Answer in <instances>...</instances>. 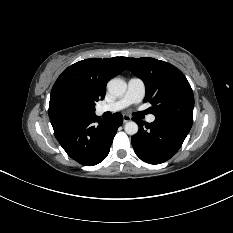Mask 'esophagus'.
I'll use <instances>...</instances> for the list:
<instances>
[{
    "label": "esophagus",
    "mask_w": 233,
    "mask_h": 233,
    "mask_svg": "<svg viewBox=\"0 0 233 233\" xmlns=\"http://www.w3.org/2000/svg\"><path fill=\"white\" fill-rule=\"evenodd\" d=\"M131 120V117L128 116V115H123V122L126 123V122H129Z\"/></svg>",
    "instance_id": "obj_1"
}]
</instances>
